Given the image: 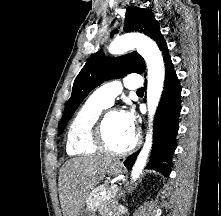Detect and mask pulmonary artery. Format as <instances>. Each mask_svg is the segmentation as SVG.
<instances>
[{
    "label": "pulmonary artery",
    "instance_id": "e3ab8cb5",
    "mask_svg": "<svg viewBox=\"0 0 221 216\" xmlns=\"http://www.w3.org/2000/svg\"><path fill=\"white\" fill-rule=\"evenodd\" d=\"M123 86L132 90L139 89L142 86V79L138 75H129L125 77L123 82L119 80L108 82L97 88L91 98L110 106L114 103L115 98L122 92Z\"/></svg>",
    "mask_w": 221,
    "mask_h": 216
}]
</instances>
